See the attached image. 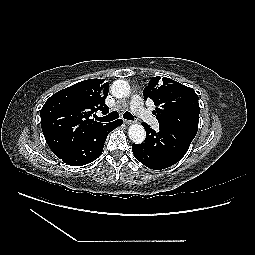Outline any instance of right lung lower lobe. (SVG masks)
I'll return each mask as SVG.
<instances>
[{
    "mask_svg": "<svg viewBox=\"0 0 255 255\" xmlns=\"http://www.w3.org/2000/svg\"><path fill=\"white\" fill-rule=\"evenodd\" d=\"M123 123L121 119L93 128L77 138L58 156L72 166L86 165L102 153L107 135Z\"/></svg>",
    "mask_w": 255,
    "mask_h": 255,
    "instance_id": "1",
    "label": "right lung lower lobe"
}]
</instances>
